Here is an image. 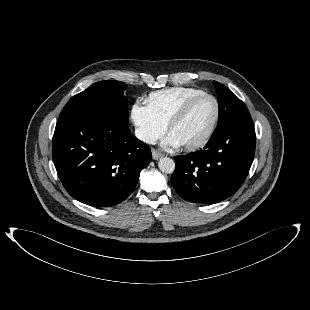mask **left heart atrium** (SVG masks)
Wrapping results in <instances>:
<instances>
[{
  "label": "left heart atrium",
  "mask_w": 310,
  "mask_h": 310,
  "mask_svg": "<svg viewBox=\"0 0 310 310\" xmlns=\"http://www.w3.org/2000/svg\"><path fill=\"white\" fill-rule=\"evenodd\" d=\"M162 145L165 147H176L179 146L180 143L178 139L172 133H170L164 138Z\"/></svg>",
  "instance_id": "1"
}]
</instances>
